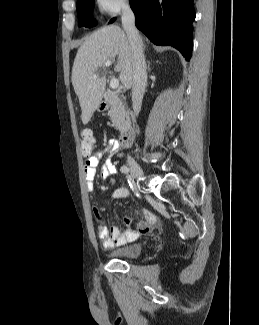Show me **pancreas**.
<instances>
[{
	"label": "pancreas",
	"instance_id": "pancreas-1",
	"mask_svg": "<svg viewBox=\"0 0 259 325\" xmlns=\"http://www.w3.org/2000/svg\"><path fill=\"white\" fill-rule=\"evenodd\" d=\"M109 104L110 110L108 111V115L113 125L121 133L125 132L129 124V111L125 103L117 93L111 92L109 95Z\"/></svg>",
	"mask_w": 259,
	"mask_h": 325
}]
</instances>
